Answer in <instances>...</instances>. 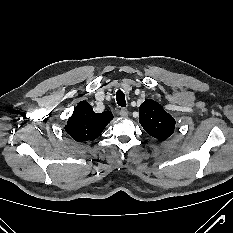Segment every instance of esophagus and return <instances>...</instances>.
Masks as SVG:
<instances>
[{
    "instance_id": "esophagus-1",
    "label": "esophagus",
    "mask_w": 233,
    "mask_h": 233,
    "mask_svg": "<svg viewBox=\"0 0 233 233\" xmlns=\"http://www.w3.org/2000/svg\"><path fill=\"white\" fill-rule=\"evenodd\" d=\"M119 114H120V116H122V117H127V116L129 115V112H128L127 109L122 108V109H120Z\"/></svg>"
}]
</instances>
